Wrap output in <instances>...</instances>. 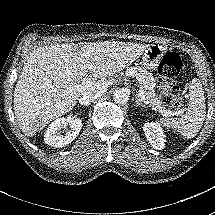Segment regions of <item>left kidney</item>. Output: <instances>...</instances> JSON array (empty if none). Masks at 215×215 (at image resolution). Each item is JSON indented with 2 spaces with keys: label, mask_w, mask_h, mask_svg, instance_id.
Masks as SVG:
<instances>
[{
  "label": "left kidney",
  "mask_w": 215,
  "mask_h": 215,
  "mask_svg": "<svg viewBox=\"0 0 215 215\" xmlns=\"http://www.w3.org/2000/svg\"><path fill=\"white\" fill-rule=\"evenodd\" d=\"M143 131L148 142L156 150L165 148V135L158 122H147L143 126Z\"/></svg>",
  "instance_id": "5707ae66"
}]
</instances>
